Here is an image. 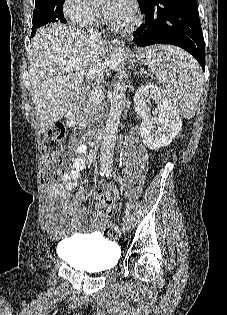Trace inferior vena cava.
Listing matches in <instances>:
<instances>
[{"label":"inferior vena cava","instance_id":"obj_1","mask_svg":"<svg viewBox=\"0 0 227 315\" xmlns=\"http://www.w3.org/2000/svg\"><path fill=\"white\" fill-rule=\"evenodd\" d=\"M89 33H90V35H91L92 37H98V36H100V33L98 32V30H94V31H93V30H90ZM111 162H112V161L106 162L105 160H101V167H102V168L110 167V166H111Z\"/></svg>","mask_w":227,"mask_h":315}]
</instances>
